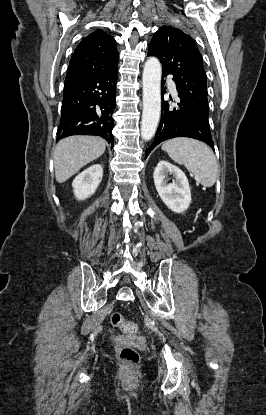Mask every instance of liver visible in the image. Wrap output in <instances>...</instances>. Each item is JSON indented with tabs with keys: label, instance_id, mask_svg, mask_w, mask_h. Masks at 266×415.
<instances>
[{
	"label": "liver",
	"instance_id": "1",
	"mask_svg": "<svg viewBox=\"0 0 266 415\" xmlns=\"http://www.w3.org/2000/svg\"><path fill=\"white\" fill-rule=\"evenodd\" d=\"M106 149V141L94 136H70L62 139L54 150L55 178L67 181L82 167L99 158Z\"/></svg>",
	"mask_w": 266,
	"mask_h": 415
}]
</instances>
